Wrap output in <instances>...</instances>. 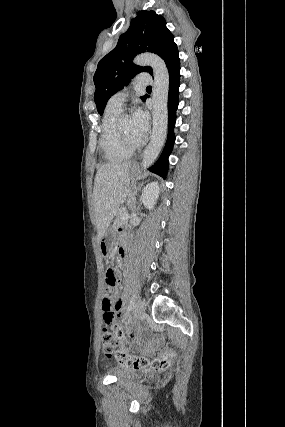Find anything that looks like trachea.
<instances>
[{
  "instance_id": "3493384b",
  "label": "trachea",
  "mask_w": 285,
  "mask_h": 427,
  "mask_svg": "<svg viewBox=\"0 0 285 427\" xmlns=\"http://www.w3.org/2000/svg\"><path fill=\"white\" fill-rule=\"evenodd\" d=\"M147 89H151V86H148Z\"/></svg>"
}]
</instances>
